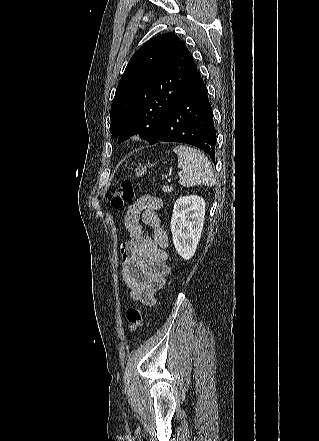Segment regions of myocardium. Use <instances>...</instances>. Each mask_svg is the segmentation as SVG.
I'll return each instance as SVG.
<instances>
[{
    "label": "myocardium",
    "instance_id": "f54148a6",
    "mask_svg": "<svg viewBox=\"0 0 319 441\" xmlns=\"http://www.w3.org/2000/svg\"><path fill=\"white\" fill-rule=\"evenodd\" d=\"M141 140V135L139 132H133L128 137V142L130 144H136Z\"/></svg>",
    "mask_w": 319,
    "mask_h": 441
}]
</instances>
